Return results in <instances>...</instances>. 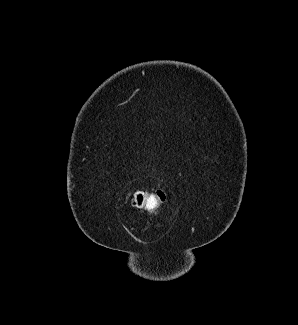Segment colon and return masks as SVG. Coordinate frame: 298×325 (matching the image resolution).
<instances>
[{
  "mask_svg": "<svg viewBox=\"0 0 298 325\" xmlns=\"http://www.w3.org/2000/svg\"><path fill=\"white\" fill-rule=\"evenodd\" d=\"M166 199V192L163 189L151 191L138 190L132 195V204L136 208L155 214L159 211Z\"/></svg>",
  "mask_w": 298,
  "mask_h": 325,
  "instance_id": "1",
  "label": "colon"
}]
</instances>
